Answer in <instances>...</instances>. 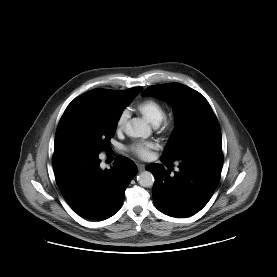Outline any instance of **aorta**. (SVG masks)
<instances>
[{"label":"aorta","instance_id":"1","mask_svg":"<svg viewBox=\"0 0 277 277\" xmlns=\"http://www.w3.org/2000/svg\"><path fill=\"white\" fill-rule=\"evenodd\" d=\"M125 132L131 137L146 138L151 135V128L142 119L133 118L126 124ZM137 181L143 187H152L154 184V176L149 171H143L137 176Z\"/></svg>","mask_w":277,"mask_h":277}]
</instances>
